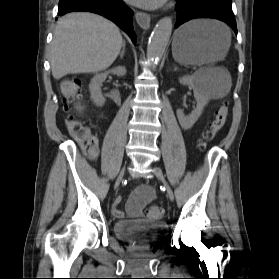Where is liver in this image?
<instances>
[{
  "mask_svg": "<svg viewBox=\"0 0 279 279\" xmlns=\"http://www.w3.org/2000/svg\"><path fill=\"white\" fill-rule=\"evenodd\" d=\"M123 39L111 21L92 13H70L57 22L50 51L54 79L96 73L116 60Z\"/></svg>",
  "mask_w": 279,
  "mask_h": 279,
  "instance_id": "liver-1",
  "label": "liver"
}]
</instances>
